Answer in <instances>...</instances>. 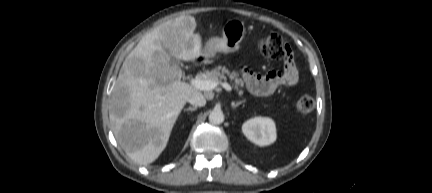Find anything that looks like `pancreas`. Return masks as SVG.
<instances>
[{
  "label": "pancreas",
  "instance_id": "1",
  "mask_svg": "<svg viewBox=\"0 0 432 193\" xmlns=\"http://www.w3.org/2000/svg\"><path fill=\"white\" fill-rule=\"evenodd\" d=\"M226 76L230 78V80L234 81L235 89L241 94L243 91L239 90L244 86V82L241 78H239V74L235 71L230 72L225 66H217L210 71H205L198 75V79L202 80H213L218 84L222 83V80H226Z\"/></svg>",
  "mask_w": 432,
  "mask_h": 193
}]
</instances>
